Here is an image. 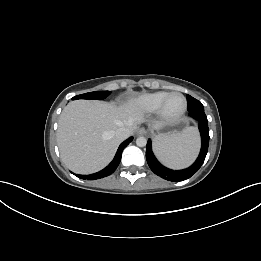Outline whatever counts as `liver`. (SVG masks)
<instances>
[{
    "instance_id": "obj_1",
    "label": "liver",
    "mask_w": 261,
    "mask_h": 261,
    "mask_svg": "<svg viewBox=\"0 0 261 261\" xmlns=\"http://www.w3.org/2000/svg\"><path fill=\"white\" fill-rule=\"evenodd\" d=\"M142 122V112L132 104L72 101L59 119L57 144L61 159L75 173L97 172L109 164L123 141L115 136L116 130L124 127L131 134ZM160 126L152 125L154 129Z\"/></svg>"
}]
</instances>
